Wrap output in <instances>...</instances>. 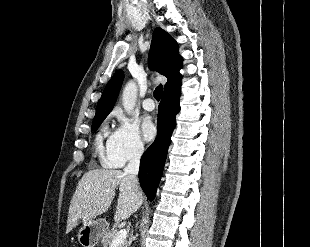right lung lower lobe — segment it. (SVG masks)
<instances>
[{
	"label": "right lung lower lobe",
	"instance_id": "right-lung-lower-lobe-1",
	"mask_svg": "<svg viewBox=\"0 0 310 247\" xmlns=\"http://www.w3.org/2000/svg\"><path fill=\"white\" fill-rule=\"evenodd\" d=\"M180 87L164 92L158 108L157 138L143 154L140 161V185L149 201L155 197L171 142V135L176 125L175 116L180 110Z\"/></svg>",
	"mask_w": 310,
	"mask_h": 247
}]
</instances>
